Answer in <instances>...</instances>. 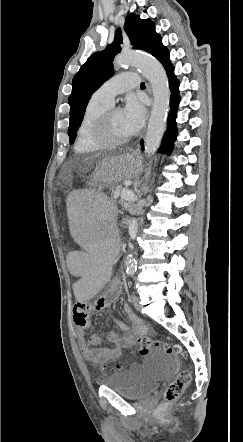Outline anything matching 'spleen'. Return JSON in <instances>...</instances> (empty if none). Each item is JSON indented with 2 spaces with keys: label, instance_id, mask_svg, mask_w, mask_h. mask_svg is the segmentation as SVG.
Returning a JSON list of instances; mask_svg holds the SVG:
<instances>
[{
  "label": "spleen",
  "instance_id": "obj_1",
  "mask_svg": "<svg viewBox=\"0 0 243 442\" xmlns=\"http://www.w3.org/2000/svg\"><path fill=\"white\" fill-rule=\"evenodd\" d=\"M88 192H107V183H88ZM64 202L69 205L70 219H73L72 237L81 242L84 254L73 259L75 274H80L79 287H74V296H81L82 302H93L99 296L101 286L110 280L114 268L113 258H118L117 239H111L107 222L115 219L116 212L109 205V193H83L80 187L74 193H64Z\"/></svg>",
  "mask_w": 243,
  "mask_h": 442
}]
</instances>
